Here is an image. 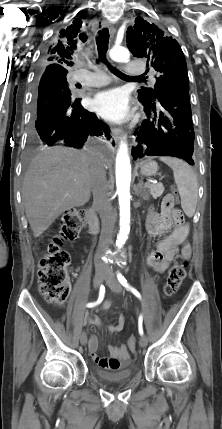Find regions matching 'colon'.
I'll list each match as a JSON object with an SVG mask.
<instances>
[{"label":"colon","instance_id":"1","mask_svg":"<svg viewBox=\"0 0 222 429\" xmlns=\"http://www.w3.org/2000/svg\"><path fill=\"white\" fill-rule=\"evenodd\" d=\"M177 194L167 195L163 203L166 206L178 202ZM86 222V214L83 210L70 209L66 211L61 220L58 235L49 243L46 254L39 261V290L47 302L55 305L63 304L70 295V284L68 280L69 254L61 248L65 241L74 240ZM187 259L178 255L168 271L164 285V293L168 297L174 296L179 290L186 276ZM127 344L134 350L137 344L135 336L128 338Z\"/></svg>","mask_w":222,"mask_h":429}]
</instances>
